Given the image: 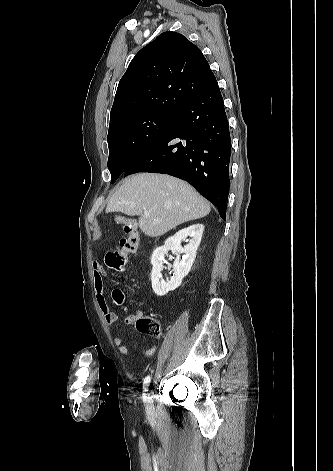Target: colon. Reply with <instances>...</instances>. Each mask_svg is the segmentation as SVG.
Returning <instances> with one entry per match:
<instances>
[{"label": "colon", "instance_id": "5ec220e1", "mask_svg": "<svg viewBox=\"0 0 333 471\" xmlns=\"http://www.w3.org/2000/svg\"><path fill=\"white\" fill-rule=\"evenodd\" d=\"M115 222L123 226L126 236L120 240L117 249L106 255L105 261L110 268L122 271L125 269L129 257L137 252L139 232L137 223L133 219L117 217ZM114 295L117 300L122 299L120 291H116ZM136 327L140 332L153 337H158L161 334L160 321L151 316H139L136 320Z\"/></svg>", "mask_w": 333, "mask_h": 471}]
</instances>
